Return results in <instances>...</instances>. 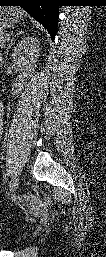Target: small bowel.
Masks as SVG:
<instances>
[{
  "label": "small bowel",
  "instance_id": "c3829d8e",
  "mask_svg": "<svg viewBox=\"0 0 106 257\" xmlns=\"http://www.w3.org/2000/svg\"><path fill=\"white\" fill-rule=\"evenodd\" d=\"M1 115H2V110H1ZM0 125H1V130H2V122H1V124H0Z\"/></svg>",
  "mask_w": 106,
  "mask_h": 257
}]
</instances>
